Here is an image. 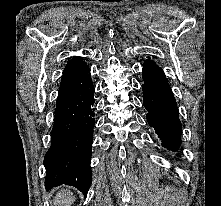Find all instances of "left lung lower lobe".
<instances>
[{"label": "left lung lower lobe", "mask_w": 221, "mask_h": 206, "mask_svg": "<svg viewBox=\"0 0 221 206\" xmlns=\"http://www.w3.org/2000/svg\"><path fill=\"white\" fill-rule=\"evenodd\" d=\"M143 103L148 111L146 118L169 150L178 151L182 126L178 108L165 74L160 69L143 68Z\"/></svg>", "instance_id": "left-lung-lower-lobe-1"}]
</instances>
